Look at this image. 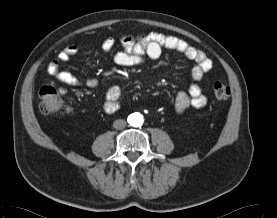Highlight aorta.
Segmentation results:
<instances>
[{
  "label": "aorta",
  "instance_id": "1",
  "mask_svg": "<svg viewBox=\"0 0 277 218\" xmlns=\"http://www.w3.org/2000/svg\"><path fill=\"white\" fill-rule=\"evenodd\" d=\"M143 121V116L138 112L133 113L129 116V123L134 127L141 126L143 124Z\"/></svg>",
  "mask_w": 277,
  "mask_h": 218
}]
</instances>
